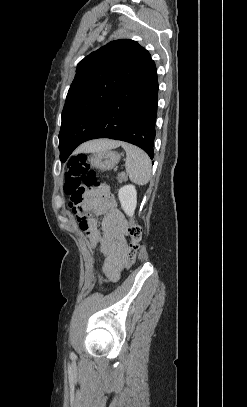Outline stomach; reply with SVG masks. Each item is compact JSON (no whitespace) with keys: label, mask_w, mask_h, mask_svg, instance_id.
<instances>
[{"label":"stomach","mask_w":247,"mask_h":407,"mask_svg":"<svg viewBox=\"0 0 247 407\" xmlns=\"http://www.w3.org/2000/svg\"><path fill=\"white\" fill-rule=\"evenodd\" d=\"M120 158L118 152L107 149L95 152L89 162L92 167L106 171L113 169L119 163Z\"/></svg>","instance_id":"obj_1"}]
</instances>
